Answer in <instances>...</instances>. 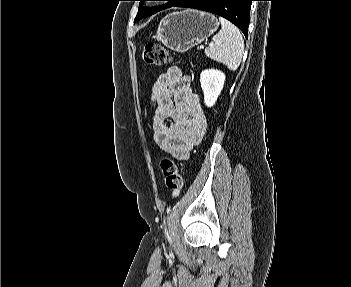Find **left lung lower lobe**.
I'll list each match as a JSON object with an SVG mask.
<instances>
[{
    "instance_id": "left-lung-lower-lobe-1",
    "label": "left lung lower lobe",
    "mask_w": 351,
    "mask_h": 287,
    "mask_svg": "<svg viewBox=\"0 0 351 287\" xmlns=\"http://www.w3.org/2000/svg\"><path fill=\"white\" fill-rule=\"evenodd\" d=\"M252 1L255 0H180L173 6L199 9L222 16L239 27L247 37Z\"/></svg>"
}]
</instances>
